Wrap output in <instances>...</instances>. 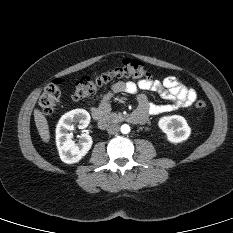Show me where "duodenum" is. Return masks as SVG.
<instances>
[{
    "instance_id": "1",
    "label": "duodenum",
    "mask_w": 233,
    "mask_h": 233,
    "mask_svg": "<svg viewBox=\"0 0 233 233\" xmlns=\"http://www.w3.org/2000/svg\"><path fill=\"white\" fill-rule=\"evenodd\" d=\"M118 119H125L133 124H142L146 120V115L139 111H135L123 118L109 114H102L97 118L98 126L100 128H106Z\"/></svg>"
}]
</instances>
